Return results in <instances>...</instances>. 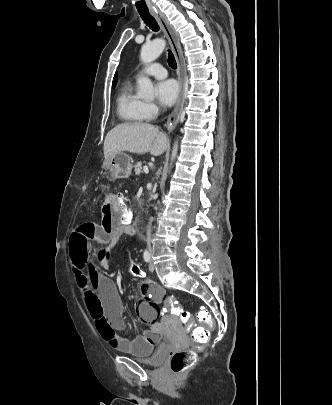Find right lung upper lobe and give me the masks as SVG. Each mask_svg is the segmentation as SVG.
<instances>
[{"label": "right lung upper lobe", "mask_w": 332, "mask_h": 405, "mask_svg": "<svg viewBox=\"0 0 332 405\" xmlns=\"http://www.w3.org/2000/svg\"><path fill=\"white\" fill-rule=\"evenodd\" d=\"M116 82H117V73H115V76H114V79H113V86L116 85Z\"/></svg>", "instance_id": "right-lung-upper-lobe-1"}]
</instances>
